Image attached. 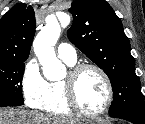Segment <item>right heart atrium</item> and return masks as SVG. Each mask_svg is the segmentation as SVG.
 Segmentation results:
<instances>
[{"label":"right heart atrium","instance_id":"obj_1","mask_svg":"<svg viewBox=\"0 0 145 124\" xmlns=\"http://www.w3.org/2000/svg\"><path fill=\"white\" fill-rule=\"evenodd\" d=\"M47 81L41 75L36 60H29L24 67L21 87L26 102L37 108L44 100Z\"/></svg>","mask_w":145,"mask_h":124}]
</instances>
